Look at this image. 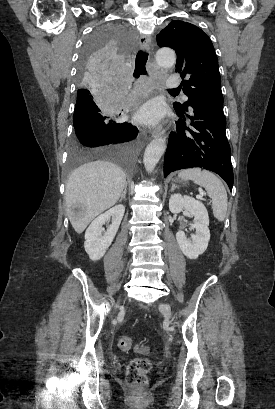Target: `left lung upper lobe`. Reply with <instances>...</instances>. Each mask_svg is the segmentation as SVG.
I'll list each match as a JSON object with an SVG mask.
<instances>
[{
	"label": "left lung upper lobe",
	"mask_w": 275,
	"mask_h": 409,
	"mask_svg": "<svg viewBox=\"0 0 275 409\" xmlns=\"http://www.w3.org/2000/svg\"><path fill=\"white\" fill-rule=\"evenodd\" d=\"M157 43L177 54L175 72L183 79L181 85L188 101L173 103L176 112H188L193 106L223 109L218 60L209 37L191 23L171 21L157 35Z\"/></svg>",
	"instance_id": "5c2ea615"
}]
</instances>
